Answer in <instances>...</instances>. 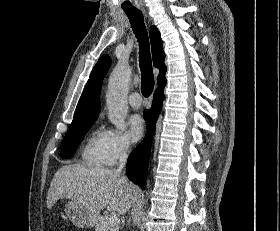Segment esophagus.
<instances>
[{
  "label": "esophagus",
  "mask_w": 280,
  "mask_h": 231,
  "mask_svg": "<svg viewBox=\"0 0 280 231\" xmlns=\"http://www.w3.org/2000/svg\"><path fill=\"white\" fill-rule=\"evenodd\" d=\"M140 8H141V10L144 12L145 16H147V13H146V11H145V8H144V7H140Z\"/></svg>",
  "instance_id": "esophagus-1"
}]
</instances>
